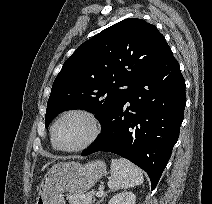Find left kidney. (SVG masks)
I'll return each mask as SVG.
<instances>
[{"mask_svg":"<svg viewBox=\"0 0 212 204\" xmlns=\"http://www.w3.org/2000/svg\"><path fill=\"white\" fill-rule=\"evenodd\" d=\"M136 197L130 191H124L122 193H118L114 195L108 204H135Z\"/></svg>","mask_w":212,"mask_h":204,"instance_id":"1","label":"left kidney"}]
</instances>
